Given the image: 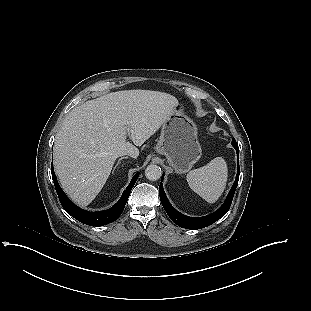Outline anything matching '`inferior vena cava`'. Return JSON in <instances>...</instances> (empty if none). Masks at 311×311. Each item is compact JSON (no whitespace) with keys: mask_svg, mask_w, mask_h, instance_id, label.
Returning <instances> with one entry per match:
<instances>
[{"mask_svg":"<svg viewBox=\"0 0 311 311\" xmlns=\"http://www.w3.org/2000/svg\"><path fill=\"white\" fill-rule=\"evenodd\" d=\"M138 153V148L136 146H131L128 150H127V154H122L123 155H128L130 158H136Z\"/></svg>","mask_w":311,"mask_h":311,"instance_id":"obj_1","label":"inferior vena cava"}]
</instances>
